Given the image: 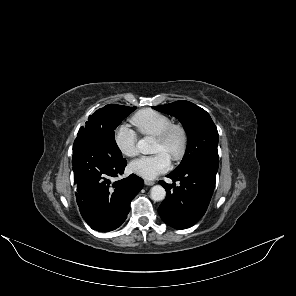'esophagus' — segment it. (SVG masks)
Returning <instances> with one entry per match:
<instances>
[{
    "mask_svg": "<svg viewBox=\"0 0 296 296\" xmlns=\"http://www.w3.org/2000/svg\"><path fill=\"white\" fill-rule=\"evenodd\" d=\"M144 183H145V185H147V186H151V185H154V184H155V181H152V180H145Z\"/></svg>",
    "mask_w": 296,
    "mask_h": 296,
    "instance_id": "esophagus-1",
    "label": "esophagus"
}]
</instances>
